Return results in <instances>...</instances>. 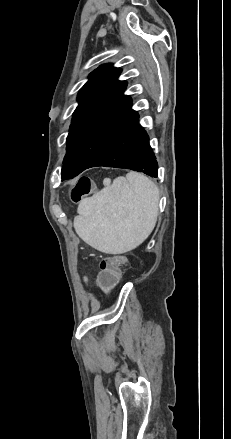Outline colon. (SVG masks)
Here are the masks:
<instances>
[{
	"label": "colon",
	"instance_id": "5ec220e1",
	"mask_svg": "<svg viewBox=\"0 0 231 439\" xmlns=\"http://www.w3.org/2000/svg\"><path fill=\"white\" fill-rule=\"evenodd\" d=\"M92 190V182L88 177H81L71 190L70 197L74 203H78L88 196ZM127 264V258L123 255H112L103 258L99 263L100 273L97 274L99 288L104 295L109 296L116 285L121 282V269Z\"/></svg>",
	"mask_w": 231,
	"mask_h": 439
}]
</instances>
